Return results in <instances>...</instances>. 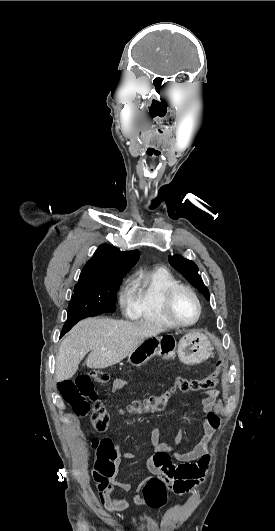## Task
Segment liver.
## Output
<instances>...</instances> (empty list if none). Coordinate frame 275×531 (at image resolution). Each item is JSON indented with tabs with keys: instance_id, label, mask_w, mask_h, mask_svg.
Returning <instances> with one entry per match:
<instances>
[{
	"instance_id": "obj_1",
	"label": "liver",
	"mask_w": 275,
	"mask_h": 531,
	"mask_svg": "<svg viewBox=\"0 0 275 531\" xmlns=\"http://www.w3.org/2000/svg\"><path fill=\"white\" fill-rule=\"evenodd\" d=\"M166 329L152 323L115 321V319H84L79 321L63 339L56 357V381L75 375L80 361L91 351L86 361L89 369H106L123 361L147 337ZM105 347L107 351H101Z\"/></svg>"
}]
</instances>
